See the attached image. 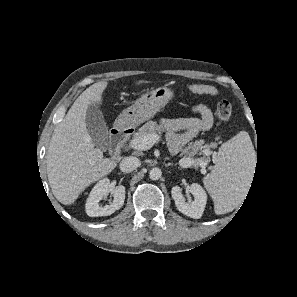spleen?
I'll use <instances>...</instances> for the list:
<instances>
[{
    "label": "spleen",
    "mask_w": 297,
    "mask_h": 297,
    "mask_svg": "<svg viewBox=\"0 0 297 297\" xmlns=\"http://www.w3.org/2000/svg\"><path fill=\"white\" fill-rule=\"evenodd\" d=\"M256 154L247 132H240L219 148L213 170L204 178L215 213L229 212L250 184Z\"/></svg>",
    "instance_id": "3e777b00"
}]
</instances>
